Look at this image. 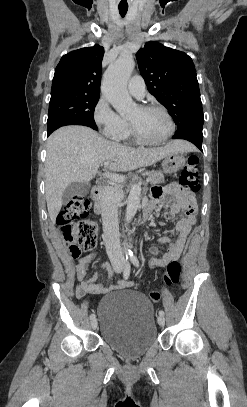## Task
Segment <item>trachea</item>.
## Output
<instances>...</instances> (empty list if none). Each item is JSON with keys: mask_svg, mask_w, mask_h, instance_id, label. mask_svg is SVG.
Instances as JSON below:
<instances>
[{"mask_svg": "<svg viewBox=\"0 0 247 407\" xmlns=\"http://www.w3.org/2000/svg\"><path fill=\"white\" fill-rule=\"evenodd\" d=\"M128 11V6H119V13L121 17H124Z\"/></svg>", "mask_w": 247, "mask_h": 407, "instance_id": "1", "label": "trachea"}]
</instances>
